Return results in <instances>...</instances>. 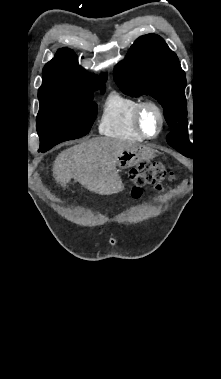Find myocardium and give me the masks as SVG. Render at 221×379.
Returning <instances> with one entry per match:
<instances>
[{
  "mask_svg": "<svg viewBox=\"0 0 221 379\" xmlns=\"http://www.w3.org/2000/svg\"><path fill=\"white\" fill-rule=\"evenodd\" d=\"M148 109L153 110L158 117V128H157L156 132L153 134L147 133L143 127V115H144V112ZM134 124H135L137 131L140 133V135L143 138L154 139V138L158 137L162 133L163 128H164V124H165V117H164V113H163L162 108L160 107V105L158 103L151 101V100L141 102L137 106L135 113H134Z\"/></svg>",
  "mask_w": 221,
  "mask_h": 379,
  "instance_id": "1",
  "label": "myocardium"
}]
</instances>
